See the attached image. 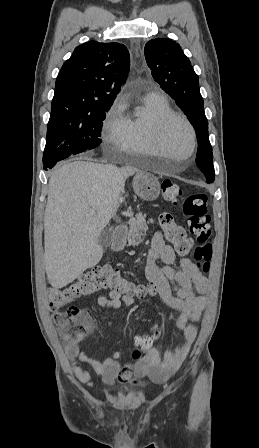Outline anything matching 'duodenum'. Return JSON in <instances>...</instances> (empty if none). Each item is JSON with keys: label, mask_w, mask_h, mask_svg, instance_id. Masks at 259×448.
I'll return each mask as SVG.
<instances>
[{"label": "duodenum", "mask_w": 259, "mask_h": 448, "mask_svg": "<svg viewBox=\"0 0 259 448\" xmlns=\"http://www.w3.org/2000/svg\"><path fill=\"white\" fill-rule=\"evenodd\" d=\"M126 229L122 226L117 227L113 232L111 247L113 250H120L125 243Z\"/></svg>", "instance_id": "duodenum-1"}]
</instances>
